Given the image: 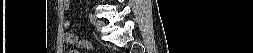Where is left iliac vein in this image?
Instances as JSON below:
<instances>
[{"label": "left iliac vein", "instance_id": "left-iliac-vein-1", "mask_svg": "<svg viewBox=\"0 0 253 53\" xmlns=\"http://www.w3.org/2000/svg\"><path fill=\"white\" fill-rule=\"evenodd\" d=\"M95 26H96L97 30L100 31L103 27V22L100 21V20H97L96 23H95Z\"/></svg>", "mask_w": 253, "mask_h": 53}]
</instances>
